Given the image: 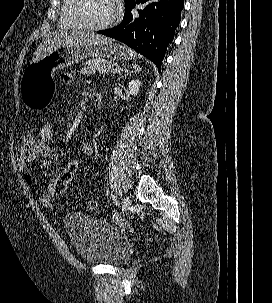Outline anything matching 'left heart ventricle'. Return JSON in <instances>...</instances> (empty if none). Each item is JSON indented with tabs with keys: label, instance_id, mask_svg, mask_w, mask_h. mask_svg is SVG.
Masks as SVG:
<instances>
[{
	"label": "left heart ventricle",
	"instance_id": "1",
	"mask_svg": "<svg viewBox=\"0 0 272 303\" xmlns=\"http://www.w3.org/2000/svg\"><path fill=\"white\" fill-rule=\"evenodd\" d=\"M79 12L88 23L99 25L110 20L116 8L113 0H84Z\"/></svg>",
	"mask_w": 272,
	"mask_h": 303
}]
</instances>
